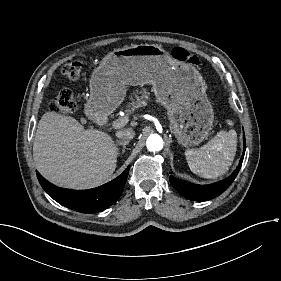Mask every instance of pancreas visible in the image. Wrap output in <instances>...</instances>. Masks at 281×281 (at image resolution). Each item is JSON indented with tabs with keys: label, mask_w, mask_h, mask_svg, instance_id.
I'll return each instance as SVG.
<instances>
[{
	"label": "pancreas",
	"mask_w": 281,
	"mask_h": 281,
	"mask_svg": "<svg viewBox=\"0 0 281 281\" xmlns=\"http://www.w3.org/2000/svg\"><path fill=\"white\" fill-rule=\"evenodd\" d=\"M130 103L128 108L125 109V113L133 114L135 110L140 107H145L148 102L153 101V97L150 95V91L147 88H141L134 90V97L129 96Z\"/></svg>",
	"instance_id": "pancreas-1"
}]
</instances>
